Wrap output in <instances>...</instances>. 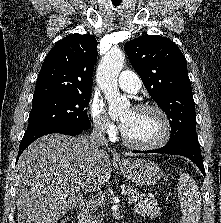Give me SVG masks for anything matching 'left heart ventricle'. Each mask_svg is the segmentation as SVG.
<instances>
[{
	"label": "left heart ventricle",
	"mask_w": 221,
	"mask_h": 223,
	"mask_svg": "<svg viewBox=\"0 0 221 223\" xmlns=\"http://www.w3.org/2000/svg\"><path fill=\"white\" fill-rule=\"evenodd\" d=\"M121 120L125 123V135L136 143H152L158 140L163 132V122L153 111H125Z\"/></svg>",
	"instance_id": "1"
}]
</instances>
